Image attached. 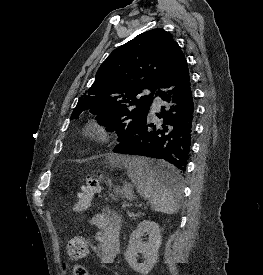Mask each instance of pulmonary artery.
<instances>
[{
    "mask_svg": "<svg viewBox=\"0 0 263 275\" xmlns=\"http://www.w3.org/2000/svg\"><path fill=\"white\" fill-rule=\"evenodd\" d=\"M161 106V99L159 97L154 98V101L152 103V111L158 112Z\"/></svg>",
    "mask_w": 263,
    "mask_h": 275,
    "instance_id": "1",
    "label": "pulmonary artery"
}]
</instances>
